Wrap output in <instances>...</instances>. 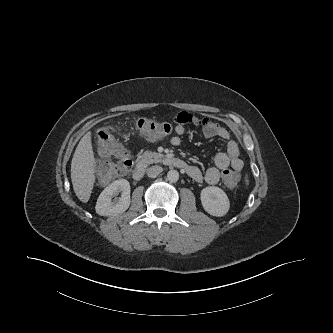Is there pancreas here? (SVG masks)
<instances>
[{
	"mask_svg": "<svg viewBox=\"0 0 333 333\" xmlns=\"http://www.w3.org/2000/svg\"><path fill=\"white\" fill-rule=\"evenodd\" d=\"M164 157L163 154L151 151H145L141 155V159L146 161L147 163H156L159 162Z\"/></svg>",
	"mask_w": 333,
	"mask_h": 333,
	"instance_id": "pancreas-1",
	"label": "pancreas"
}]
</instances>
